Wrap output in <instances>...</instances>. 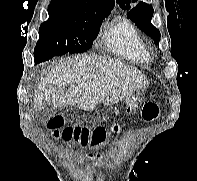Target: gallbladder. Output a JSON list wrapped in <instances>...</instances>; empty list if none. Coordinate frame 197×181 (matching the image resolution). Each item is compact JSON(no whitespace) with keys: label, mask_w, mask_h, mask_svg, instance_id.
<instances>
[{"label":"gallbladder","mask_w":197,"mask_h":181,"mask_svg":"<svg viewBox=\"0 0 197 181\" xmlns=\"http://www.w3.org/2000/svg\"><path fill=\"white\" fill-rule=\"evenodd\" d=\"M44 108H45V110H46V109H48V108H50V107H49L48 105L45 104V105H44Z\"/></svg>","instance_id":"obj_1"}]
</instances>
